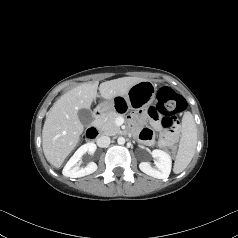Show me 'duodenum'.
Here are the masks:
<instances>
[{"label": "duodenum", "instance_id": "duodenum-1", "mask_svg": "<svg viewBox=\"0 0 238 238\" xmlns=\"http://www.w3.org/2000/svg\"><path fill=\"white\" fill-rule=\"evenodd\" d=\"M103 115H104V110L102 108L96 110L94 113V117L96 120L101 118ZM86 135L89 139H95L98 136V129L96 128V126L93 125L89 127L86 132Z\"/></svg>", "mask_w": 238, "mask_h": 238}]
</instances>
